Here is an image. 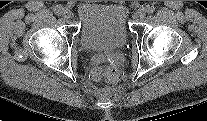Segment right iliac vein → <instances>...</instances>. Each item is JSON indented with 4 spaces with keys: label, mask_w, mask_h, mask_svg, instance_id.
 Returning <instances> with one entry per match:
<instances>
[{
    "label": "right iliac vein",
    "mask_w": 207,
    "mask_h": 121,
    "mask_svg": "<svg viewBox=\"0 0 207 121\" xmlns=\"http://www.w3.org/2000/svg\"><path fill=\"white\" fill-rule=\"evenodd\" d=\"M62 16L65 19H70L71 18V11L69 9H66V8L63 9Z\"/></svg>",
    "instance_id": "63e3f726"
}]
</instances>
